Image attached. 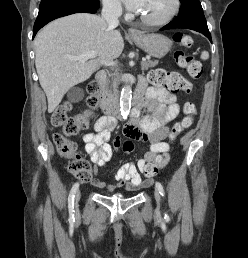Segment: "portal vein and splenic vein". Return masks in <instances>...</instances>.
<instances>
[{"label": "portal vein and splenic vein", "mask_w": 248, "mask_h": 258, "mask_svg": "<svg viewBox=\"0 0 248 258\" xmlns=\"http://www.w3.org/2000/svg\"><path fill=\"white\" fill-rule=\"evenodd\" d=\"M95 57H96L95 53L88 52V53H84V54L79 55V56H68L67 58H69L71 60H75V61L85 62L88 59H92V58H95ZM145 61H146V58H142V62H145ZM101 63L105 66H115L116 65V62H114V61L101 60Z\"/></svg>", "instance_id": "18ae733b"}]
</instances>
